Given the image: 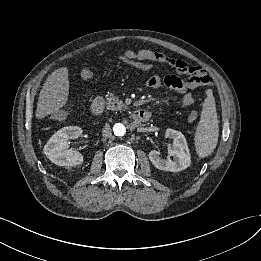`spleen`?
Segmentation results:
<instances>
[{"mask_svg":"<svg viewBox=\"0 0 261 261\" xmlns=\"http://www.w3.org/2000/svg\"><path fill=\"white\" fill-rule=\"evenodd\" d=\"M201 111V118L195 133V147L200 158L209 156L217 146L219 121L212 91L207 90Z\"/></svg>","mask_w":261,"mask_h":261,"instance_id":"1","label":"spleen"}]
</instances>
